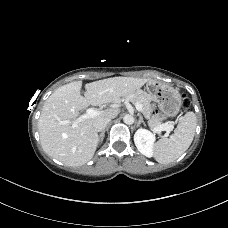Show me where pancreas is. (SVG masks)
<instances>
[{"label": "pancreas", "mask_w": 228, "mask_h": 228, "mask_svg": "<svg viewBox=\"0 0 228 228\" xmlns=\"http://www.w3.org/2000/svg\"><path fill=\"white\" fill-rule=\"evenodd\" d=\"M123 99H128L133 104L140 103L143 108V113L146 119H148V126L150 129L156 133H160L161 131H157L158 127H160L162 124L161 119L158 116H152V105H151V99L143 92V91H135L131 94H127L123 96ZM119 101V100H118ZM117 101V102H118ZM171 126L170 122L164 123Z\"/></svg>", "instance_id": "pancreas-1"}]
</instances>
